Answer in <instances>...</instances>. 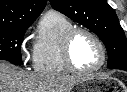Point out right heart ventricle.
Listing matches in <instances>:
<instances>
[{
  "label": "right heart ventricle",
  "instance_id": "right-heart-ventricle-1",
  "mask_svg": "<svg viewBox=\"0 0 127 92\" xmlns=\"http://www.w3.org/2000/svg\"><path fill=\"white\" fill-rule=\"evenodd\" d=\"M72 27V23L58 12L49 11L41 18L33 49L37 73L53 76L68 72L62 59V40Z\"/></svg>",
  "mask_w": 127,
  "mask_h": 92
}]
</instances>
